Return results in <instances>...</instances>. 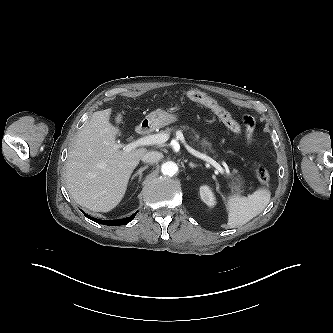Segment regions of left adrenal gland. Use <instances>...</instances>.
Segmentation results:
<instances>
[{
    "label": "left adrenal gland",
    "instance_id": "a2214340",
    "mask_svg": "<svg viewBox=\"0 0 333 333\" xmlns=\"http://www.w3.org/2000/svg\"><path fill=\"white\" fill-rule=\"evenodd\" d=\"M189 166H190L191 168H196V167H198L199 165H198V164H194L193 162H189Z\"/></svg>",
    "mask_w": 333,
    "mask_h": 333
}]
</instances>
